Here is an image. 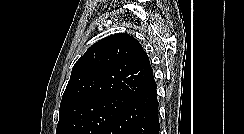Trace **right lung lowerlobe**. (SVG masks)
<instances>
[{"label":"right lung lower lobe","instance_id":"1","mask_svg":"<svg viewBox=\"0 0 244 134\" xmlns=\"http://www.w3.org/2000/svg\"><path fill=\"white\" fill-rule=\"evenodd\" d=\"M156 88L134 97L101 134H159Z\"/></svg>","mask_w":244,"mask_h":134}]
</instances>
